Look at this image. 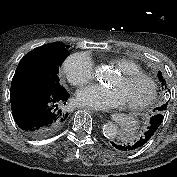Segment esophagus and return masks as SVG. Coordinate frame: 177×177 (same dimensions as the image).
I'll use <instances>...</instances> for the list:
<instances>
[{
    "label": "esophagus",
    "mask_w": 177,
    "mask_h": 177,
    "mask_svg": "<svg viewBox=\"0 0 177 177\" xmlns=\"http://www.w3.org/2000/svg\"><path fill=\"white\" fill-rule=\"evenodd\" d=\"M103 116H104L105 118H109V117L111 116V113H110L109 111H105V112L103 113Z\"/></svg>",
    "instance_id": "34e87169"
}]
</instances>
